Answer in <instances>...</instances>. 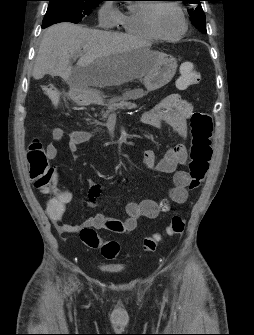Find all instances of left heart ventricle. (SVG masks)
I'll return each instance as SVG.
<instances>
[{
    "instance_id": "left-heart-ventricle-1",
    "label": "left heart ventricle",
    "mask_w": 254,
    "mask_h": 335,
    "mask_svg": "<svg viewBox=\"0 0 254 335\" xmlns=\"http://www.w3.org/2000/svg\"><path fill=\"white\" fill-rule=\"evenodd\" d=\"M156 23L159 31L165 35H175L182 29V21L172 7L162 6L156 13Z\"/></svg>"
}]
</instances>
